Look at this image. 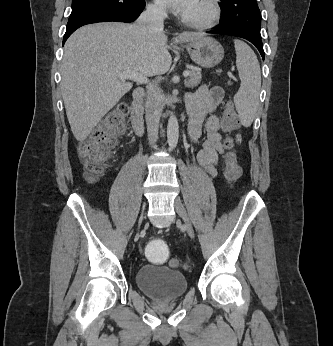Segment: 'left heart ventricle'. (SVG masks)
Here are the masks:
<instances>
[{"label":"left heart ventricle","instance_id":"left-heart-ventricle-1","mask_svg":"<svg viewBox=\"0 0 333 346\" xmlns=\"http://www.w3.org/2000/svg\"><path fill=\"white\" fill-rule=\"evenodd\" d=\"M209 13V7L206 0H193L185 15L204 18Z\"/></svg>","mask_w":333,"mask_h":346}]
</instances>
